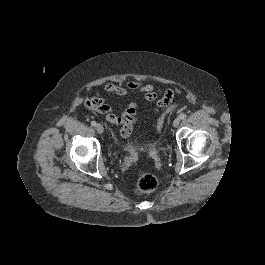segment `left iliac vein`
Wrapping results in <instances>:
<instances>
[{"instance_id": "obj_1", "label": "left iliac vein", "mask_w": 265, "mask_h": 265, "mask_svg": "<svg viewBox=\"0 0 265 265\" xmlns=\"http://www.w3.org/2000/svg\"><path fill=\"white\" fill-rule=\"evenodd\" d=\"M179 123H180V118H176V119L173 121V127H174V128H177L178 125H179Z\"/></svg>"}]
</instances>
